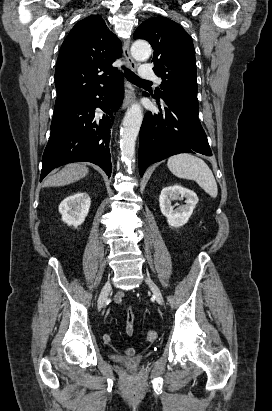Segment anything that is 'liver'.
I'll list each match as a JSON object with an SVG mask.
<instances>
[{"label":"liver","mask_w":272,"mask_h":411,"mask_svg":"<svg viewBox=\"0 0 272 411\" xmlns=\"http://www.w3.org/2000/svg\"><path fill=\"white\" fill-rule=\"evenodd\" d=\"M89 172V169L80 163H71L62 170H60L57 174L49 176L43 186L44 187H52V186H64L71 184L80 180L81 178L85 177Z\"/></svg>","instance_id":"1"}]
</instances>
